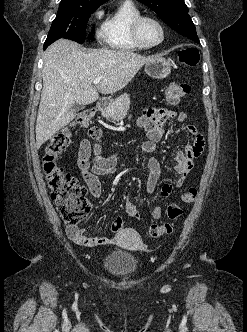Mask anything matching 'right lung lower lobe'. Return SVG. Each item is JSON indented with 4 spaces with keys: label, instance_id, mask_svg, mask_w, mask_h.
<instances>
[{
    "label": "right lung lower lobe",
    "instance_id": "1",
    "mask_svg": "<svg viewBox=\"0 0 247 332\" xmlns=\"http://www.w3.org/2000/svg\"><path fill=\"white\" fill-rule=\"evenodd\" d=\"M53 42H54L53 40H46V42L44 44V49H46Z\"/></svg>",
    "mask_w": 247,
    "mask_h": 332
}]
</instances>
